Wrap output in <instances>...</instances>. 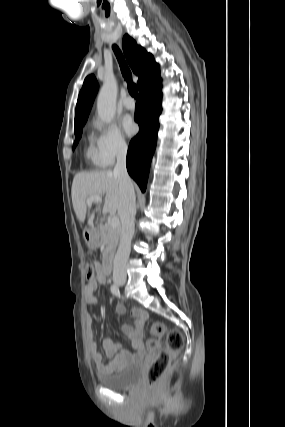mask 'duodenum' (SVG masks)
Returning <instances> with one entry per match:
<instances>
[{
    "mask_svg": "<svg viewBox=\"0 0 285 427\" xmlns=\"http://www.w3.org/2000/svg\"><path fill=\"white\" fill-rule=\"evenodd\" d=\"M113 260H114L113 250L109 249V251L107 252V255H106V259H105V268H106L107 272L109 271V269L113 263Z\"/></svg>",
    "mask_w": 285,
    "mask_h": 427,
    "instance_id": "duodenum-1",
    "label": "duodenum"
}]
</instances>
